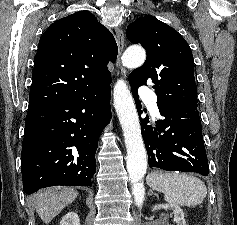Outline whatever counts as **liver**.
<instances>
[{"label":"liver","mask_w":237,"mask_h":225,"mask_svg":"<svg viewBox=\"0 0 237 225\" xmlns=\"http://www.w3.org/2000/svg\"><path fill=\"white\" fill-rule=\"evenodd\" d=\"M77 196L74 188L58 186L39 190L31 196V202L41 220L48 224Z\"/></svg>","instance_id":"liver-1"}]
</instances>
